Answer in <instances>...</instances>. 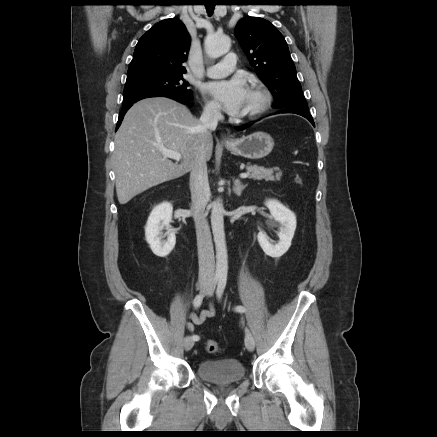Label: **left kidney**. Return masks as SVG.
<instances>
[{"instance_id": "5707ae66", "label": "left kidney", "mask_w": 437, "mask_h": 437, "mask_svg": "<svg viewBox=\"0 0 437 437\" xmlns=\"http://www.w3.org/2000/svg\"><path fill=\"white\" fill-rule=\"evenodd\" d=\"M265 205L270 210L271 218L279 226V241L276 244L269 242L267 235L260 231L257 235L259 245L264 253L273 258H279L288 251L296 229L295 214L277 200H267Z\"/></svg>"}]
</instances>
